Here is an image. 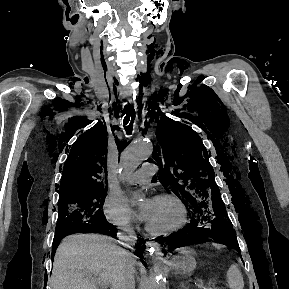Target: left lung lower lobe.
<instances>
[{"label": "left lung lower lobe", "mask_w": 289, "mask_h": 289, "mask_svg": "<svg viewBox=\"0 0 289 289\" xmlns=\"http://www.w3.org/2000/svg\"><path fill=\"white\" fill-rule=\"evenodd\" d=\"M216 212L218 216H225L228 219L224 205L217 207ZM205 218L206 216L200 218H191L190 223L181 231L169 235L163 241L169 245L170 249L194 244V240L200 236L210 237L218 241L219 239L217 237L218 231L216 223L214 220L206 221ZM227 222L229 223L230 221ZM229 232L231 234L229 237L231 240V245L235 247L240 253L239 246H237V238L234 235L233 229L230 228Z\"/></svg>", "instance_id": "obj_1"}]
</instances>
